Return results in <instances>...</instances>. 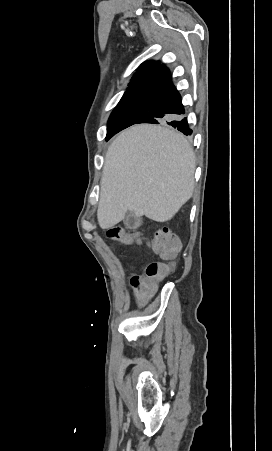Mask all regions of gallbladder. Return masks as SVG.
<instances>
[{
	"label": "gallbladder",
	"mask_w": 272,
	"mask_h": 451,
	"mask_svg": "<svg viewBox=\"0 0 272 451\" xmlns=\"http://www.w3.org/2000/svg\"><path fill=\"white\" fill-rule=\"evenodd\" d=\"M124 224L126 227H131V229H134V227H139L140 224H142L141 218H137V216H134V214H131V212H128Z\"/></svg>",
	"instance_id": "bac80fb5"
}]
</instances>
